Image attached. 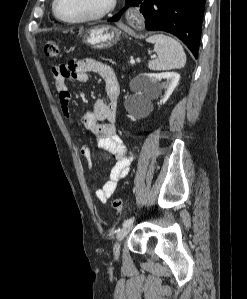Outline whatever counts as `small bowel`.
Returning <instances> with one entry per match:
<instances>
[{"mask_svg":"<svg viewBox=\"0 0 247 299\" xmlns=\"http://www.w3.org/2000/svg\"><path fill=\"white\" fill-rule=\"evenodd\" d=\"M90 73L99 74L105 83L107 100H98L93 111H87L81 118V124L95 138L97 146L112 153L116 163L110 170L109 178L96 191V197L101 203H106L115 192L119 182L127 175L133 156L116 133L115 121L120 86L115 72L109 65L102 62L85 59L79 62H69L52 68L55 87L59 97L62 113L71 117V94L67 87V80L87 82ZM88 168L92 167V150L88 145L81 149Z\"/></svg>","mask_w":247,"mask_h":299,"instance_id":"1","label":"small bowel"}]
</instances>
